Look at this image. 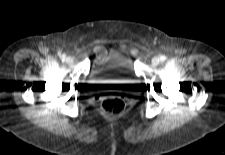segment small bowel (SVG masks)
Returning a JSON list of instances; mask_svg holds the SVG:
<instances>
[{"mask_svg": "<svg viewBox=\"0 0 225 155\" xmlns=\"http://www.w3.org/2000/svg\"><path fill=\"white\" fill-rule=\"evenodd\" d=\"M104 52H105V50L102 47L98 46L96 48V53H97L98 56L103 55Z\"/></svg>", "mask_w": 225, "mask_h": 155, "instance_id": "1", "label": "small bowel"}]
</instances>
